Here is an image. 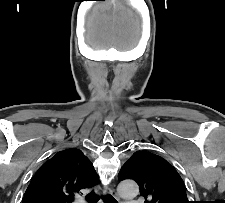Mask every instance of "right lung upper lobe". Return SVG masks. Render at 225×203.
I'll use <instances>...</instances> for the list:
<instances>
[{"mask_svg": "<svg viewBox=\"0 0 225 203\" xmlns=\"http://www.w3.org/2000/svg\"><path fill=\"white\" fill-rule=\"evenodd\" d=\"M99 182L93 164L81 150L65 149L36 172L23 203H71L76 193Z\"/></svg>", "mask_w": 225, "mask_h": 203, "instance_id": "1", "label": "right lung upper lobe"}]
</instances>
